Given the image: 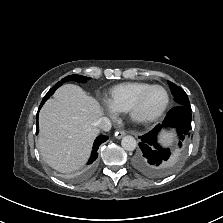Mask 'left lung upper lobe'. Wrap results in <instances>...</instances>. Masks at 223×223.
<instances>
[{"label":"left lung upper lobe","mask_w":223,"mask_h":223,"mask_svg":"<svg viewBox=\"0 0 223 223\" xmlns=\"http://www.w3.org/2000/svg\"><path fill=\"white\" fill-rule=\"evenodd\" d=\"M168 84L170 86L171 92L174 96V100L176 101L177 105L190 107L188 96L184 92V90L170 81H168Z\"/></svg>","instance_id":"left-lung-upper-lobe-1"}]
</instances>
